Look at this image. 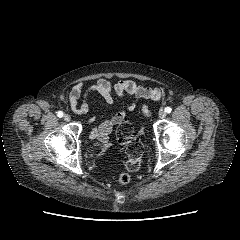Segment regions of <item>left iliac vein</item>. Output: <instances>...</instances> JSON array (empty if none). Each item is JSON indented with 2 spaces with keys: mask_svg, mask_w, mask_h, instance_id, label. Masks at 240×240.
Returning <instances> with one entry per match:
<instances>
[{
  "mask_svg": "<svg viewBox=\"0 0 240 240\" xmlns=\"http://www.w3.org/2000/svg\"><path fill=\"white\" fill-rule=\"evenodd\" d=\"M158 115L160 119H164L166 117V112L161 110Z\"/></svg>",
  "mask_w": 240,
  "mask_h": 240,
  "instance_id": "4c4485c4",
  "label": "left iliac vein"
}]
</instances>
